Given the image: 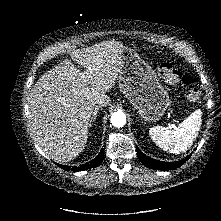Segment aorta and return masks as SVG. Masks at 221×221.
Instances as JSON below:
<instances>
[{"instance_id":"1","label":"aorta","mask_w":221,"mask_h":221,"mask_svg":"<svg viewBox=\"0 0 221 221\" xmlns=\"http://www.w3.org/2000/svg\"><path fill=\"white\" fill-rule=\"evenodd\" d=\"M111 123L114 127L121 128L126 124V116L123 112L117 111L111 115Z\"/></svg>"}]
</instances>
